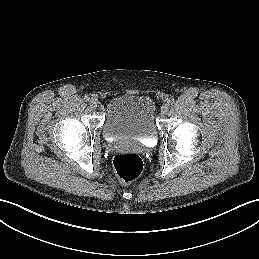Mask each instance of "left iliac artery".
<instances>
[{
  "instance_id": "1",
  "label": "left iliac artery",
  "mask_w": 259,
  "mask_h": 259,
  "mask_svg": "<svg viewBox=\"0 0 259 259\" xmlns=\"http://www.w3.org/2000/svg\"><path fill=\"white\" fill-rule=\"evenodd\" d=\"M167 103H168L169 105H172V104L174 103V99H172V98L168 99Z\"/></svg>"
}]
</instances>
